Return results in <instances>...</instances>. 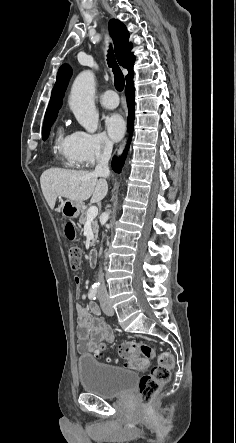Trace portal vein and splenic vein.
<instances>
[{"label": "portal vein and splenic vein", "mask_w": 236, "mask_h": 443, "mask_svg": "<svg viewBox=\"0 0 236 443\" xmlns=\"http://www.w3.org/2000/svg\"><path fill=\"white\" fill-rule=\"evenodd\" d=\"M98 215V208L92 206L88 209L87 221H93V219Z\"/></svg>", "instance_id": "obj_1"}]
</instances>
